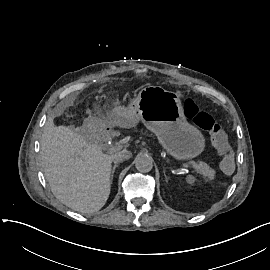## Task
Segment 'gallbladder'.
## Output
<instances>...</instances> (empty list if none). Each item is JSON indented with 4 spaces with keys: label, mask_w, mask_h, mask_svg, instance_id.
Here are the masks:
<instances>
[{
    "label": "gallbladder",
    "mask_w": 270,
    "mask_h": 270,
    "mask_svg": "<svg viewBox=\"0 0 270 270\" xmlns=\"http://www.w3.org/2000/svg\"><path fill=\"white\" fill-rule=\"evenodd\" d=\"M70 129L74 130V132H79L80 126L75 125L72 121H70V124L68 126Z\"/></svg>",
    "instance_id": "1"
}]
</instances>
